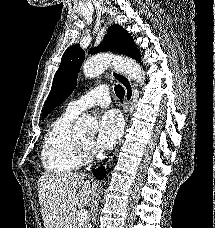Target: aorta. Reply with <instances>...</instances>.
<instances>
[{"instance_id": "aorta-1", "label": "aorta", "mask_w": 215, "mask_h": 228, "mask_svg": "<svg viewBox=\"0 0 215 228\" xmlns=\"http://www.w3.org/2000/svg\"><path fill=\"white\" fill-rule=\"evenodd\" d=\"M114 60V56H110V54H100V56L86 60L83 64V74L85 78H97L99 74L104 72L105 68L113 66ZM119 66H121L122 70H124L126 74H129L133 80L139 82V84L144 82L142 68H140L136 62L124 60V62H119ZM91 120L92 118H90V116H85L84 114V116L79 118L78 122H76L74 130H76V132H94V126Z\"/></svg>"}]
</instances>
